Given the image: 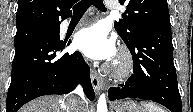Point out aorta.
Returning <instances> with one entry per match:
<instances>
[{
    "label": "aorta",
    "mask_w": 193,
    "mask_h": 112,
    "mask_svg": "<svg viewBox=\"0 0 193 112\" xmlns=\"http://www.w3.org/2000/svg\"><path fill=\"white\" fill-rule=\"evenodd\" d=\"M107 103L105 94L100 95L97 104V112H107Z\"/></svg>",
    "instance_id": "obj_1"
}]
</instances>
